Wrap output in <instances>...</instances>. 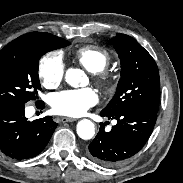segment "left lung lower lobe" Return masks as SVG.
<instances>
[{"mask_svg": "<svg viewBox=\"0 0 183 183\" xmlns=\"http://www.w3.org/2000/svg\"><path fill=\"white\" fill-rule=\"evenodd\" d=\"M100 115L117 120L110 132H105L100 123V130L88 147V156L102 166L117 165L140 151L157 119V112L141 108H129L113 115L101 112Z\"/></svg>", "mask_w": 183, "mask_h": 183, "instance_id": "obj_1", "label": "left lung lower lobe"}]
</instances>
